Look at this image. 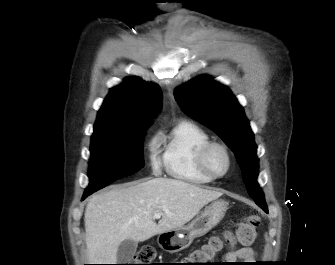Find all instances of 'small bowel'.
<instances>
[{
  "mask_svg": "<svg viewBox=\"0 0 335 265\" xmlns=\"http://www.w3.org/2000/svg\"><path fill=\"white\" fill-rule=\"evenodd\" d=\"M256 253L251 247H235L229 246L227 252L223 256V263L231 264L236 261L251 262L255 260Z\"/></svg>",
  "mask_w": 335,
  "mask_h": 265,
  "instance_id": "1",
  "label": "small bowel"
}]
</instances>
